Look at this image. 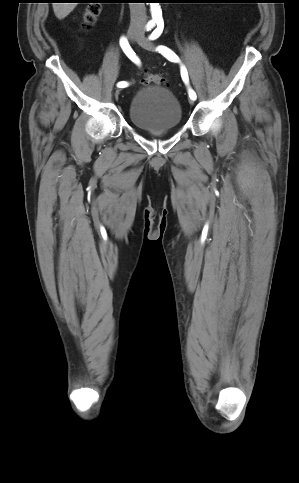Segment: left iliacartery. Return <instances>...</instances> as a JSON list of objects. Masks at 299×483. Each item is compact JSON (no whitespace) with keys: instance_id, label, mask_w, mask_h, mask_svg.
I'll return each instance as SVG.
<instances>
[{"instance_id":"44dca946","label":"left iliac artery","mask_w":299,"mask_h":483,"mask_svg":"<svg viewBox=\"0 0 299 483\" xmlns=\"http://www.w3.org/2000/svg\"><path fill=\"white\" fill-rule=\"evenodd\" d=\"M162 23H158V28L153 31V33L149 36L150 40H155L158 38L162 32ZM156 51L161 53L164 57H166L168 60L173 61V62H180L179 57L168 47L160 45L157 47ZM181 77L184 83L188 86V92H189V97L192 100H196V93L194 90H192L189 87V77H188V72L185 68V66L181 65Z\"/></svg>"}]
</instances>
